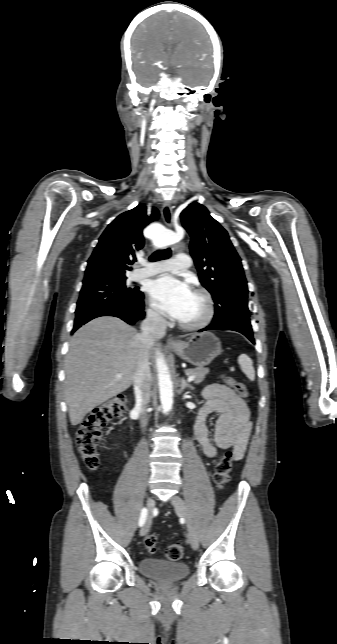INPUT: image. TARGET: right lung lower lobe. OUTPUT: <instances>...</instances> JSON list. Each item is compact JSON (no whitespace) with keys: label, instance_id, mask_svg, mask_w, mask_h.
Instances as JSON below:
<instances>
[{"label":"right lung lower lobe","instance_id":"1","mask_svg":"<svg viewBox=\"0 0 337 644\" xmlns=\"http://www.w3.org/2000/svg\"><path fill=\"white\" fill-rule=\"evenodd\" d=\"M143 297V294H141V296L126 304L101 307L77 313L72 332H75L81 325L100 316L118 317L128 324L134 325L139 319L144 318L145 315Z\"/></svg>","mask_w":337,"mask_h":644}]
</instances>
